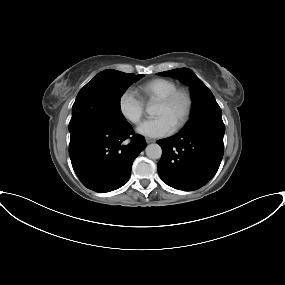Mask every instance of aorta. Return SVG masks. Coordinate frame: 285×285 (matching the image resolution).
<instances>
[{
    "instance_id": "aorta-1",
    "label": "aorta",
    "mask_w": 285,
    "mask_h": 285,
    "mask_svg": "<svg viewBox=\"0 0 285 285\" xmlns=\"http://www.w3.org/2000/svg\"><path fill=\"white\" fill-rule=\"evenodd\" d=\"M146 111L149 115L155 114V108L152 105L147 106ZM145 152L150 159H159L162 155V149L158 144H149Z\"/></svg>"
}]
</instances>
